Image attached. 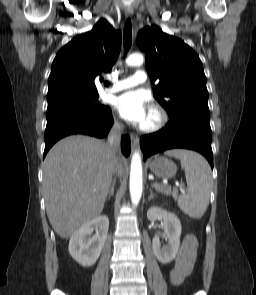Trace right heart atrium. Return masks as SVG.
<instances>
[{"instance_id":"d8ad5b80","label":"right heart atrium","mask_w":256,"mask_h":295,"mask_svg":"<svg viewBox=\"0 0 256 295\" xmlns=\"http://www.w3.org/2000/svg\"><path fill=\"white\" fill-rule=\"evenodd\" d=\"M114 122H115V125L116 126H120L121 125L120 120L118 118H115L114 119Z\"/></svg>"}]
</instances>
